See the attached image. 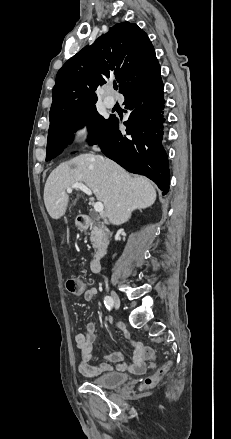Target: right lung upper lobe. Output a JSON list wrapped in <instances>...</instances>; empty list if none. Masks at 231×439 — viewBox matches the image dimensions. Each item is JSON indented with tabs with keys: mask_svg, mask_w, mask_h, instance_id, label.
<instances>
[{
	"mask_svg": "<svg viewBox=\"0 0 231 439\" xmlns=\"http://www.w3.org/2000/svg\"><path fill=\"white\" fill-rule=\"evenodd\" d=\"M158 75L160 66L147 34L134 23L115 24L58 71L50 124L95 107V90L110 77L125 96Z\"/></svg>",
	"mask_w": 231,
	"mask_h": 439,
	"instance_id": "obj_1",
	"label": "right lung upper lobe"
}]
</instances>
